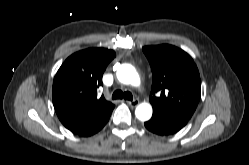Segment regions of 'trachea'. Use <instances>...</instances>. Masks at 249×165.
Here are the masks:
<instances>
[{
    "label": "trachea",
    "instance_id": "trachea-1",
    "mask_svg": "<svg viewBox=\"0 0 249 165\" xmlns=\"http://www.w3.org/2000/svg\"><path fill=\"white\" fill-rule=\"evenodd\" d=\"M122 98L130 101L133 100L132 94L128 91L123 92L122 90H116L112 95V99H122Z\"/></svg>",
    "mask_w": 249,
    "mask_h": 165
}]
</instances>
